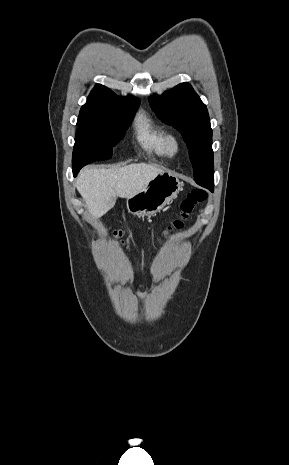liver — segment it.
<instances>
[{"mask_svg": "<svg viewBox=\"0 0 289 465\" xmlns=\"http://www.w3.org/2000/svg\"><path fill=\"white\" fill-rule=\"evenodd\" d=\"M164 172L145 163L114 169H84L76 188L86 202L92 218H99L114 207L117 197L128 198L141 191L153 178Z\"/></svg>", "mask_w": 289, "mask_h": 465, "instance_id": "6515ba94", "label": "liver"}]
</instances>
